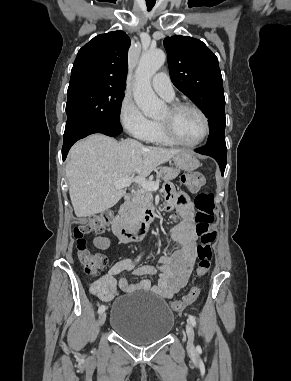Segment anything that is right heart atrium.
<instances>
[{"label": "right heart atrium", "instance_id": "d8ad5b80", "mask_svg": "<svg viewBox=\"0 0 291 381\" xmlns=\"http://www.w3.org/2000/svg\"><path fill=\"white\" fill-rule=\"evenodd\" d=\"M119 120L127 133L141 140L147 138L153 126V122L142 113L135 101L129 96H125L121 101Z\"/></svg>", "mask_w": 291, "mask_h": 381}]
</instances>
